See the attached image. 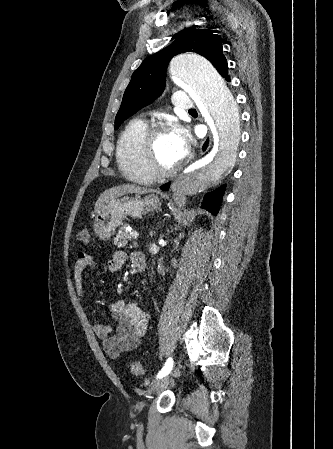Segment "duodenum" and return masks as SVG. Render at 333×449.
I'll use <instances>...</instances> for the list:
<instances>
[{
  "mask_svg": "<svg viewBox=\"0 0 333 449\" xmlns=\"http://www.w3.org/2000/svg\"><path fill=\"white\" fill-rule=\"evenodd\" d=\"M132 262L138 271H144L146 268V260L142 253L135 252L132 254Z\"/></svg>",
  "mask_w": 333,
  "mask_h": 449,
  "instance_id": "410a0bca",
  "label": "duodenum"
}]
</instances>
